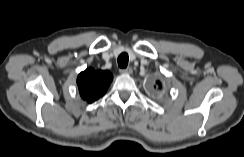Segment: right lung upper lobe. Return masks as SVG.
Here are the masks:
<instances>
[{"label":"right lung upper lobe","instance_id":"cb5924a9","mask_svg":"<svg viewBox=\"0 0 244 157\" xmlns=\"http://www.w3.org/2000/svg\"><path fill=\"white\" fill-rule=\"evenodd\" d=\"M112 79L113 76L109 71L86 69L77 78L81 97L88 103H92L105 94Z\"/></svg>","mask_w":244,"mask_h":157}]
</instances>
